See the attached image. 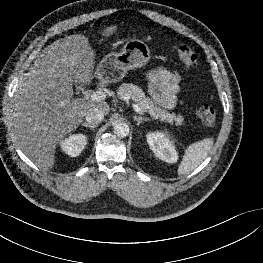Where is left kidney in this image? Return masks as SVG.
I'll return each mask as SVG.
<instances>
[{"label": "left kidney", "mask_w": 263, "mask_h": 263, "mask_svg": "<svg viewBox=\"0 0 263 263\" xmlns=\"http://www.w3.org/2000/svg\"><path fill=\"white\" fill-rule=\"evenodd\" d=\"M146 137L150 149L158 158L167 163H175L177 161L178 155L173 141L165 133L150 132Z\"/></svg>", "instance_id": "5707ae66"}]
</instances>
